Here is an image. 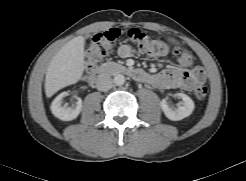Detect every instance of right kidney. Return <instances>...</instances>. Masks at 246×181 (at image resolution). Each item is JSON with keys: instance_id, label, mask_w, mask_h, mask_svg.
I'll use <instances>...</instances> for the list:
<instances>
[{"instance_id": "right-kidney-1", "label": "right kidney", "mask_w": 246, "mask_h": 181, "mask_svg": "<svg viewBox=\"0 0 246 181\" xmlns=\"http://www.w3.org/2000/svg\"><path fill=\"white\" fill-rule=\"evenodd\" d=\"M67 94L66 92L61 93L58 95L51 104V111L52 114L60 120L63 121H71L78 117L79 113L82 109V100L77 98V102L74 106H62V99Z\"/></svg>"}]
</instances>
